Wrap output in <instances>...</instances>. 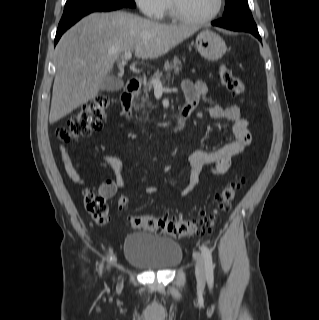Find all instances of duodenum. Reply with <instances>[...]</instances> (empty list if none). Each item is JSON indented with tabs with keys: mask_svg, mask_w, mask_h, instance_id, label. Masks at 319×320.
Wrapping results in <instances>:
<instances>
[{
	"mask_svg": "<svg viewBox=\"0 0 319 320\" xmlns=\"http://www.w3.org/2000/svg\"><path fill=\"white\" fill-rule=\"evenodd\" d=\"M140 87V79L139 78H131L128 80L124 92L121 95V103L126 111H128L131 107L132 99L134 98L135 94L137 93ZM191 112L189 111H182L181 114V121L179 122L178 126L175 127V130H178L183 127L184 121L188 119Z\"/></svg>",
	"mask_w": 319,
	"mask_h": 320,
	"instance_id": "duodenum-1",
	"label": "duodenum"
}]
</instances>
